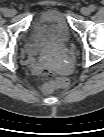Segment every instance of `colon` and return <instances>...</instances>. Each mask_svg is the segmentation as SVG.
<instances>
[{
  "instance_id": "1",
  "label": "colon",
  "mask_w": 104,
  "mask_h": 137,
  "mask_svg": "<svg viewBox=\"0 0 104 137\" xmlns=\"http://www.w3.org/2000/svg\"><path fill=\"white\" fill-rule=\"evenodd\" d=\"M59 84L58 83H50L44 87V91L49 93L58 88Z\"/></svg>"
}]
</instances>
